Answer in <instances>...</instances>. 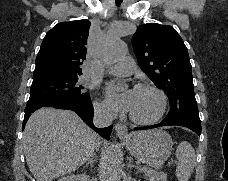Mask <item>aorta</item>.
<instances>
[{
	"label": "aorta",
	"mask_w": 228,
	"mask_h": 181,
	"mask_svg": "<svg viewBox=\"0 0 228 181\" xmlns=\"http://www.w3.org/2000/svg\"><path fill=\"white\" fill-rule=\"evenodd\" d=\"M127 53L126 44L116 37H109L104 47V61L106 64H114L123 58ZM107 170L111 181L121 179V168L119 166L117 150L110 147L107 155Z\"/></svg>",
	"instance_id": "1"
}]
</instances>
